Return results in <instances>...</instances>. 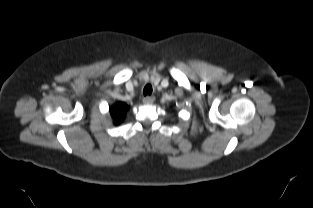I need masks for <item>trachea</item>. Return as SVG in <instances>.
Wrapping results in <instances>:
<instances>
[{
    "mask_svg": "<svg viewBox=\"0 0 313 208\" xmlns=\"http://www.w3.org/2000/svg\"><path fill=\"white\" fill-rule=\"evenodd\" d=\"M151 93H152V86L150 84H147L144 87L143 94L144 96H147V95H151Z\"/></svg>",
    "mask_w": 313,
    "mask_h": 208,
    "instance_id": "trachea-1",
    "label": "trachea"
}]
</instances>
